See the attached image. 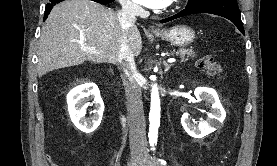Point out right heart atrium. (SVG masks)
<instances>
[{
  "mask_svg": "<svg viewBox=\"0 0 277 166\" xmlns=\"http://www.w3.org/2000/svg\"><path fill=\"white\" fill-rule=\"evenodd\" d=\"M118 2L125 11L136 13L140 10L135 0H118Z\"/></svg>",
  "mask_w": 277,
  "mask_h": 166,
  "instance_id": "right-heart-atrium-1",
  "label": "right heart atrium"
}]
</instances>
